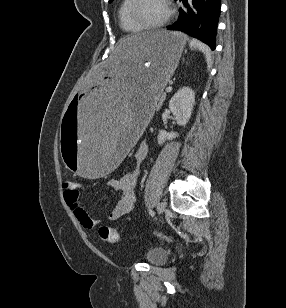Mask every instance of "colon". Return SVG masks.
<instances>
[{
	"label": "colon",
	"instance_id": "5ec220e1",
	"mask_svg": "<svg viewBox=\"0 0 286 308\" xmlns=\"http://www.w3.org/2000/svg\"><path fill=\"white\" fill-rule=\"evenodd\" d=\"M79 183L75 180H69L64 183L65 191L67 192H77ZM99 235L101 239L108 243H117L120 239L118 232L108 226H102L99 229Z\"/></svg>",
	"mask_w": 286,
	"mask_h": 308
}]
</instances>
